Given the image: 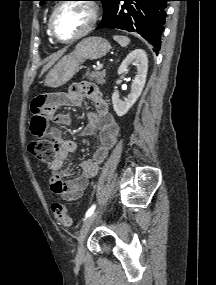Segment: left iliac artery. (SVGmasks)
<instances>
[{
	"label": "left iliac artery",
	"instance_id": "left-iliac-artery-1",
	"mask_svg": "<svg viewBox=\"0 0 216 285\" xmlns=\"http://www.w3.org/2000/svg\"><path fill=\"white\" fill-rule=\"evenodd\" d=\"M95 210V205H93L91 208L88 209V211L86 212V215L85 217H89L90 215H92V213L94 212Z\"/></svg>",
	"mask_w": 216,
	"mask_h": 285
}]
</instances>
